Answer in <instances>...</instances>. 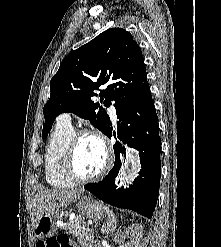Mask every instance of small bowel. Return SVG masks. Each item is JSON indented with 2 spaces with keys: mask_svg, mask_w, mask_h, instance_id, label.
<instances>
[{
  "mask_svg": "<svg viewBox=\"0 0 221 247\" xmlns=\"http://www.w3.org/2000/svg\"><path fill=\"white\" fill-rule=\"evenodd\" d=\"M45 242V240H40V241H38L37 242V244H36V247H39L38 245H39V243H44ZM66 247H76V246H73V245H70V244H67L66 245Z\"/></svg>",
  "mask_w": 221,
  "mask_h": 247,
  "instance_id": "obj_1",
  "label": "small bowel"
}]
</instances>
